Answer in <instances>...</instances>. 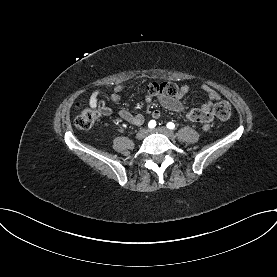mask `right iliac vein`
Masks as SVG:
<instances>
[{
	"label": "right iliac vein",
	"mask_w": 277,
	"mask_h": 277,
	"mask_svg": "<svg viewBox=\"0 0 277 277\" xmlns=\"http://www.w3.org/2000/svg\"><path fill=\"white\" fill-rule=\"evenodd\" d=\"M148 133H149V130H148V129H141V130L137 133L136 138H137L138 140H142V139H144V138L148 135Z\"/></svg>",
	"instance_id": "63e3f726"
}]
</instances>
